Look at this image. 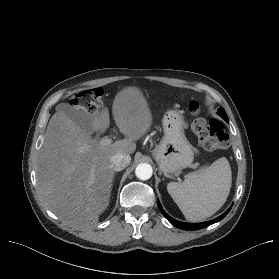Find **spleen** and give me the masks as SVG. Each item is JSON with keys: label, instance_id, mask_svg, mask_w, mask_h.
<instances>
[{"label": "spleen", "instance_id": "obj_1", "mask_svg": "<svg viewBox=\"0 0 279 279\" xmlns=\"http://www.w3.org/2000/svg\"><path fill=\"white\" fill-rule=\"evenodd\" d=\"M231 184L230 164L222 157L199 172L188 174L182 183L170 182L167 190L187 220L201 222L224 205Z\"/></svg>", "mask_w": 279, "mask_h": 279}]
</instances>
